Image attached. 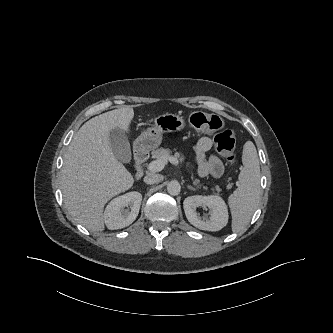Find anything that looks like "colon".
<instances>
[{"instance_id": "1", "label": "colon", "mask_w": 333, "mask_h": 333, "mask_svg": "<svg viewBox=\"0 0 333 333\" xmlns=\"http://www.w3.org/2000/svg\"><path fill=\"white\" fill-rule=\"evenodd\" d=\"M191 125L202 132H217L214 137L216 150L226 159L228 163H233L236 159V139L230 129H223V122L213 114L195 112L190 116Z\"/></svg>"}]
</instances>
